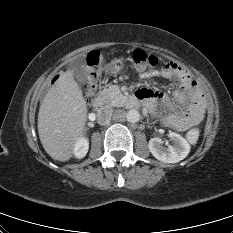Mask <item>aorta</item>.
Instances as JSON below:
<instances>
[{"mask_svg": "<svg viewBox=\"0 0 233 233\" xmlns=\"http://www.w3.org/2000/svg\"><path fill=\"white\" fill-rule=\"evenodd\" d=\"M126 120L130 123H136L140 120V113L135 109L129 110L126 113Z\"/></svg>", "mask_w": 233, "mask_h": 233, "instance_id": "aorta-1", "label": "aorta"}]
</instances>
